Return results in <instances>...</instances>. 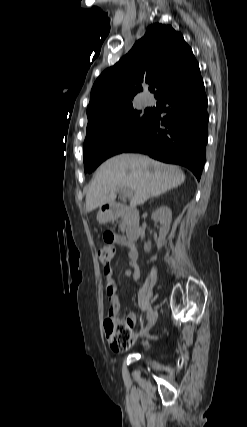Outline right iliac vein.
I'll return each mask as SVG.
<instances>
[{"label":"right iliac vein","instance_id":"obj_1","mask_svg":"<svg viewBox=\"0 0 247 427\" xmlns=\"http://www.w3.org/2000/svg\"><path fill=\"white\" fill-rule=\"evenodd\" d=\"M157 318H158L157 311H152L150 317L148 318V323L144 329V332H148L153 327V325L157 321Z\"/></svg>","mask_w":247,"mask_h":427}]
</instances>
